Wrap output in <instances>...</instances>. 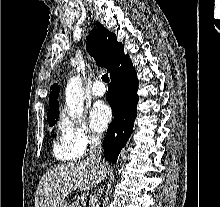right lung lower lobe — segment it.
I'll return each instance as SVG.
<instances>
[{"label": "right lung lower lobe", "instance_id": "1", "mask_svg": "<svg viewBox=\"0 0 220 207\" xmlns=\"http://www.w3.org/2000/svg\"><path fill=\"white\" fill-rule=\"evenodd\" d=\"M110 76L107 100L112 108L114 119L108 127L103 149L105 158L110 162H116L121 149L132 133L139 100L136 94L137 74L129 55H125L114 65Z\"/></svg>", "mask_w": 220, "mask_h": 207}]
</instances>
